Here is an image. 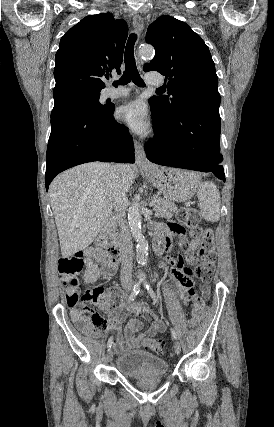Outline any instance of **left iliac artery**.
I'll return each instance as SVG.
<instances>
[{"label":"left iliac artery","mask_w":274,"mask_h":427,"mask_svg":"<svg viewBox=\"0 0 274 427\" xmlns=\"http://www.w3.org/2000/svg\"><path fill=\"white\" fill-rule=\"evenodd\" d=\"M145 287H146L148 294L151 296V298L154 300V302H158V297L155 294L154 290L152 289L151 285L149 283H146ZM171 334H172V337L176 340L177 339V333L173 327H171Z\"/></svg>","instance_id":"left-iliac-artery-1"}]
</instances>
